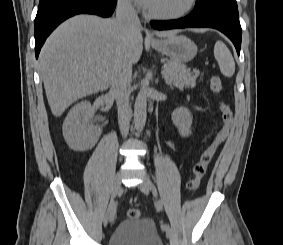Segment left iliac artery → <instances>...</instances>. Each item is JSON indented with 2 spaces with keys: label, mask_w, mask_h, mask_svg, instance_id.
<instances>
[{
  "label": "left iliac artery",
  "mask_w": 283,
  "mask_h": 245,
  "mask_svg": "<svg viewBox=\"0 0 283 245\" xmlns=\"http://www.w3.org/2000/svg\"><path fill=\"white\" fill-rule=\"evenodd\" d=\"M162 205H163L162 201L159 200V201L157 202V211H161ZM161 229L164 230V231H165V230H170V226H169V224H167V223H161Z\"/></svg>",
  "instance_id": "1"
}]
</instances>
